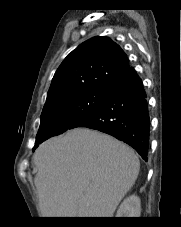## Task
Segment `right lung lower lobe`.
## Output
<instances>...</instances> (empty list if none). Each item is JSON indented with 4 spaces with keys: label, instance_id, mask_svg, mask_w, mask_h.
<instances>
[{
    "label": "right lung lower lobe",
    "instance_id": "98d812e1",
    "mask_svg": "<svg viewBox=\"0 0 181 227\" xmlns=\"http://www.w3.org/2000/svg\"><path fill=\"white\" fill-rule=\"evenodd\" d=\"M104 105L78 127L114 136L132 146L147 161L150 117L143 83L134 69L110 86Z\"/></svg>",
    "mask_w": 181,
    "mask_h": 227
}]
</instances>
